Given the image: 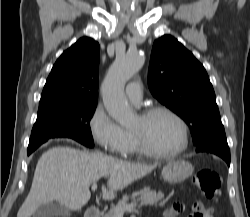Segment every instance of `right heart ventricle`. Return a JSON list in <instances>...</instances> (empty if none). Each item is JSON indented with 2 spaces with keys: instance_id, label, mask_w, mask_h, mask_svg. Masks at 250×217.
Instances as JSON below:
<instances>
[{
  "instance_id": "e07e8e85",
  "label": "right heart ventricle",
  "mask_w": 250,
  "mask_h": 217,
  "mask_svg": "<svg viewBox=\"0 0 250 217\" xmlns=\"http://www.w3.org/2000/svg\"><path fill=\"white\" fill-rule=\"evenodd\" d=\"M124 133L126 135V140H127V146L125 149V152L123 153L124 155H134L138 154L139 151L136 147V144L134 142L133 136L131 134V131L129 130H124Z\"/></svg>"
}]
</instances>
